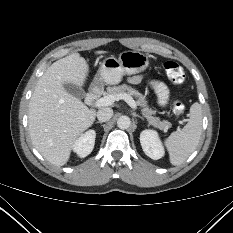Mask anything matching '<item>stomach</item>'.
<instances>
[{
	"instance_id": "obj_1",
	"label": "stomach",
	"mask_w": 233,
	"mask_h": 233,
	"mask_svg": "<svg viewBox=\"0 0 233 233\" xmlns=\"http://www.w3.org/2000/svg\"><path fill=\"white\" fill-rule=\"evenodd\" d=\"M149 66L148 57L138 51H124L118 58L108 57L103 60L96 77L95 85L118 84L124 75L138 74Z\"/></svg>"
}]
</instances>
